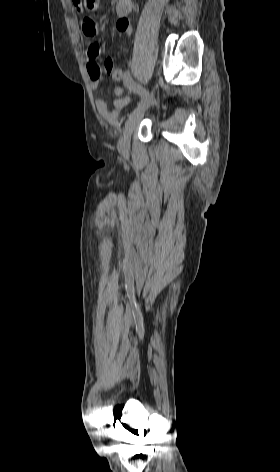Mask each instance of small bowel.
<instances>
[{
	"label": "small bowel",
	"instance_id": "obj_1",
	"mask_svg": "<svg viewBox=\"0 0 280 472\" xmlns=\"http://www.w3.org/2000/svg\"><path fill=\"white\" fill-rule=\"evenodd\" d=\"M73 1V0H72ZM78 11L83 12L84 8L81 4L74 2ZM132 0H118L116 3V29L127 35L132 34V27L128 20V16L132 11ZM83 34L89 38H94L98 34V26L95 20L90 16H84L81 21ZM100 56V46L96 42L89 44L86 50L87 57V72L90 78V85L92 89H97L101 76V66L98 62ZM125 93L123 86L115 88V94L122 96ZM130 102L129 98H116L112 101L111 107L101 99H96V108L99 114L108 122H115L121 110Z\"/></svg>",
	"mask_w": 280,
	"mask_h": 472
}]
</instances>
